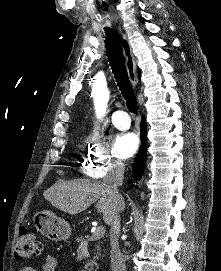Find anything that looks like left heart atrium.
<instances>
[{
	"label": "left heart atrium",
	"instance_id": "39dd6f15",
	"mask_svg": "<svg viewBox=\"0 0 221 271\" xmlns=\"http://www.w3.org/2000/svg\"><path fill=\"white\" fill-rule=\"evenodd\" d=\"M170 94H177V92H170ZM137 145L138 135L135 132H128L118 136L117 145H114V150L115 153H118L119 157H126L135 152Z\"/></svg>",
	"mask_w": 221,
	"mask_h": 271
}]
</instances>
